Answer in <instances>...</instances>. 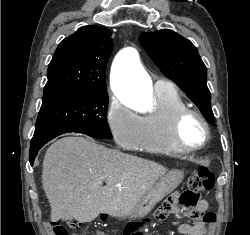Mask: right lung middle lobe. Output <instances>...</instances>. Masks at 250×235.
<instances>
[{"mask_svg": "<svg viewBox=\"0 0 250 235\" xmlns=\"http://www.w3.org/2000/svg\"><path fill=\"white\" fill-rule=\"evenodd\" d=\"M108 94L102 90H72L43 97L36 128L68 125L112 138L107 123Z\"/></svg>", "mask_w": 250, "mask_h": 235, "instance_id": "1", "label": "right lung middle lobe"}]
</instances>
